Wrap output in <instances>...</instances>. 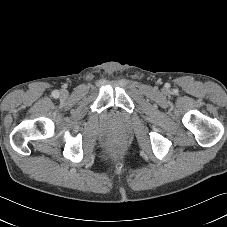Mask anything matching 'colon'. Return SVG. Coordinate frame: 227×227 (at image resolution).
<instances>
[{
    "mask_svg": "<svg viewBox=\"0 0 227 227\" xmlns=\"http://www.w3.org/2000/svg\"><path fill=\"white\" fill-rule=\"evenodd\" d=\"M125 143L122 139H115L110 144V151L114 156H119L123 153Z\"/></svg>",
    "mask_w": 227,
    "mask_h": 227,
    "instance_id": "5ec220e1",
    "label": "colon"
}]
</instances>
